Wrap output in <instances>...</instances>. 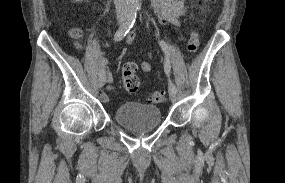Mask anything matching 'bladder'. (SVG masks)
I'll use <instances>...</instances> for the list:
<instances>
[{"label":"bladder","instance_id":"bladder-1","mask_svg":"<svg viewBox=\"0 0 285 183\" xmlns=\"http://www.w3.org/2000/svg\"><path fill=\"white\" fill-rule=\"evenodd\" d=\"M115 119L129 128L155 127L161 124V110L153 105L128 102L115 110Z\"/></svg>","mask_w":285,"mask_h":183}]
</instances>
